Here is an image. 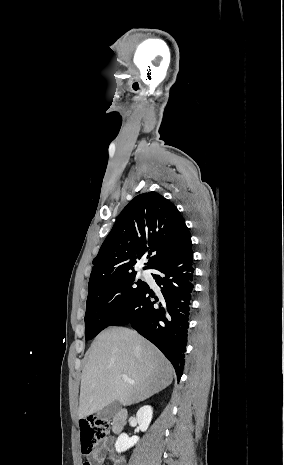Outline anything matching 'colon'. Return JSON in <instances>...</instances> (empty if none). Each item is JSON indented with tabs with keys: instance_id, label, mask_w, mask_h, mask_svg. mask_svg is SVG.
Returning a JSON list of instances; mask_svg holds the SVG:
<instances>
[{
	"instance_id": "obj_1",
	"label": "colon",
	"mask_w": 284,
	"mask_h": 465,
	"mask_svg": "<svg viewBox=\"0 0 284 465\" xmlns=\"http://www.w3.org/2000/svg\"><path fill=\"white\" fill-rule=\"evenodd\" d=\"M110 432V425L106 423L92 422L90 425L81 427V448L80 452L83 457L91 454L94 444L98 440L105 438ZM89 465V463H85Z\"/></svg>"
}]
</instances>
